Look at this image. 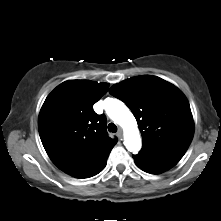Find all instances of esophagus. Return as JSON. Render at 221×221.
I'll use <instances>...</instances> for the list:
<instances>
[{
	"label": "esophagus",
	"instance_id": "1",
	"mask_svg": "<svg viewBox=\"0 0 221 221\" xmlns=\"http://www.w3.org/2000/svg\"><path fill=\"white\" fill-rule=\"evenodd\" d=\"M122 136H123V132L121 129H119V131L117 132V137L122 140Z\"/></svg>",
	"mask_w": 221,
	"mask_h": 221
}]
</instances>
